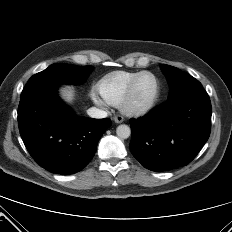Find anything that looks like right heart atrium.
<instances>
[{
    "instance_id": "d8ad5b80",
    "label": "right heart atrium",
    "mask_w": 232,
    "mask_h": 232,
    "mask_svg": "<svg viewBox=\"0 0 232 232\" xmlns=\"http://www.w3.org/2000/svg\"><path fill=\"white\" fill-rule=\"evenodd\" d=\"M92 97H93V100H94L96 103L102 104V102H101L95 95H93Z\"/></svg>"
}]
</instances>
